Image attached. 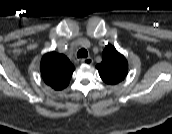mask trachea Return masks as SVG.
<instances>
[{
	"instance_id": "obj_1",
	"label": "trachea",
	"mask_w": 172,
	"mask_h": 134,
	"mask_svg": "<svg viewBox=\"0 0 172 134\" xmlns=\"http://www.w3.org/2000/svg\"><path fill=\"white\" fill-rule=\"evenodd\" d=\"M87 56H88V52H87V50L84 49V48L80 49V50L78 51V53H77V57H78V58H81V57L87 58Z\"/></svg>"
}]
</instances>
